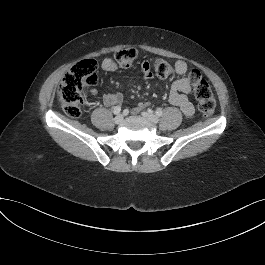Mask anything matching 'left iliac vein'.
<instances>
[{
  "label": "left iliac vein",
  "instance_id": "left-iliac-vein-1",
  "mask_svg": "<svg viewBox=\"0 0 265 265\" xmlns=\"http://www.w3.org/2000/svg\"><path fill=\"white\" fill-rule=\"evenodd\" d=\"M142 116L152 123H158L159 121L158 117L150 112H142Z\"/></svg>",
  "mask_w": 265,
  "mask_h": 265
}]
</instances>
